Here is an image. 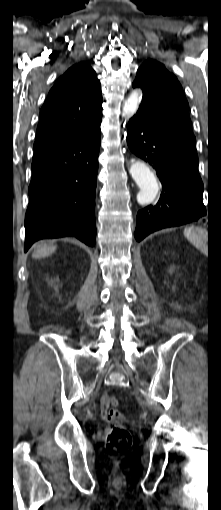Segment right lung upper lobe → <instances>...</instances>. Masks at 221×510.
Instances as JSON below:
<instances>
[{
	"mask_svg": "<svg viewBox=\"0 0 221 510\" xmlns=\"http://www.w3.org/2000/svg\"><path fill=\"white\" fill-rule=\"evenodd\" d=\"M101 118L100 81L89 64L78 63L69 68L50 90L40 111L34 149L80 134Z\"/></svg>",
	"mask_w": 221,
	"mask_h": 510,
	"instance_id": "right-lung-upper-lobe-1",
	"label": "right lung upper lobe"
}]
</instances>
